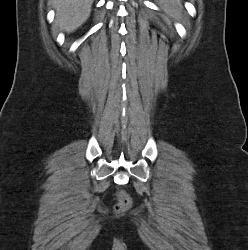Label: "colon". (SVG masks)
<instances>
[{
	"label": "colon",
	"mask_w": 248,
	"mask_h": 250,
	"mask_svg": "<svg viewBox=\"0 0 248 250\" xmlns=\"http://www.w3.org/2000/svg\"><path fill=\"white\" fill-rule=\"evenodd\" d=\"M117 199H118V203L116 205V212L117 213H119V214L124 213L125 211H127L130 208L131 199L125 191H123V190L118 191Z\"/></svg>",
	"instance_id": "1"
}]
</instances>
